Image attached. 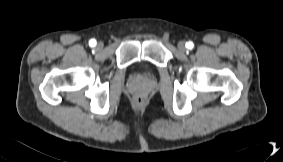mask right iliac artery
I'll return each mask as SVG.
<instances>
[{
	"label": "right iliac artery",
	"mask_w": 283,
	"mask_h": 162,
	"mask_svg": "<svg viewBox=\"0 0 283 162\" xmlns=\"http://www.w3.org/2000/svg\"><path fill=\"white\" fill-rule=\"evenodd\" d=\"M89 45H90L91 47H94V46L96 45V40H95V39H91V40L89 41Z\"/></svg>",
	"instance_id": "82829eb1"
}]
</instances>
